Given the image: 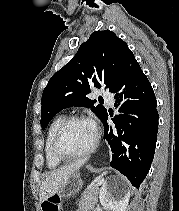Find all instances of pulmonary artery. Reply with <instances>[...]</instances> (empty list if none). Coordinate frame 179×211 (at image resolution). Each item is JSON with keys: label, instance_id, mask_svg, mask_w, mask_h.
I'll return each instance as SVG.
<instances>
[{"label": "pulmonary artery", "instance_id": "e3ab8cb5", "mask_svg": "<svg viewBox=\"0 0 179 211\" xmlns=\"http://www.w3.org/2000/svg\"><path fill=\"white\" fill-rule=\"evenodd\" d=\"M102 96L108 103L113 104L114 97L112 93H110L109 91H103Z\"/></svg>", "mask_w": 179, "mask_h": 211}]
</instances>
